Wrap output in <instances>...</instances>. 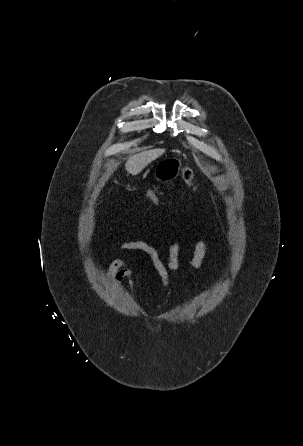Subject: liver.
Returning a JSON list of instances; mask_svg holds the SVG:
<instances>
[{
    "instance_id": "6515ba94",
    "label": "liver",
    "mask_w": 303,
    "mask_h": 446,
    "mask_svg": "<svg viewBox=\"0 0 303 446\" xmlns=\"http://www.w3.org/2000/svg\"><path fill=\"white\" fill-rule=\"evenodd\" d=\"M164 150L154 149L142 151L134 154L126 161L125 168L128 173L137 175L140 173L149 163L162 155Z\"/></svg>"
}]
</instances>
